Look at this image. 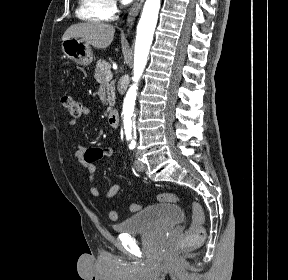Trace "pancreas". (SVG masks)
I'll return each instance as SVG.
<instances>
[{"mask_svg": "<svg viewBox=\"0 0 288 280\" xmlns=\"http://www.w3.org/2000/svg\"><path fill=\"white\" fill-rule=\"evenodd\" d=\"M110 69H111V66L108 62H106L105 60H99L95 67V74H94V78L96 79V82L101 85L106 86V93H107L106 105H109L107 107V111H110L112 106L115 104L114 82L111 81V79L106 80L105 78L106 72L110 71Z\"/></svg>", "mask_w": 288, "mask_h": 280, "instance_id": "obj_1", "label": "pancreas"}]
</instances>
